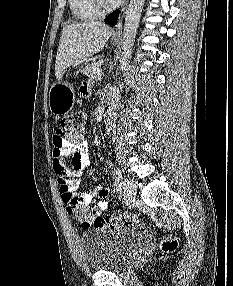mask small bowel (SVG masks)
<instances>
[{
    "label": "small bowel",
    "instance_id": "1",
    "mask_svg": "<svg viewBox=\"0 0 233 286\" xmlns=\"http://www.w3.org/2000/svg\"><path fill=\"white\" fill-rule=\"evenodd\" d=\"M91 88V84H84L80 89V95L88 97ZM52 142L53 170L57 177L63 202L66 204V199L69 195L76 196L81 200L83 205L93 206L99 214L107 206L106 198L110 194L109 189L102 185H96L81 194L77 192L80 185L78 177L90 164L87 140L83 136H61L55 130ZM67 158H70V166L66 161ZM95 199L97 200L95 201ZM79 222L82 227H88L81 221Z\"/></svg>",
    "mask_w": 233,
    "mask_h": 286
}]
</instances>
